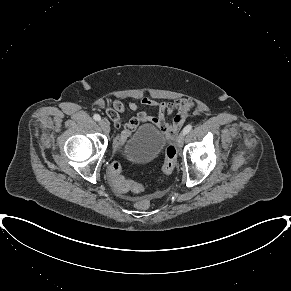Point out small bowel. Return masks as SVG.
<instances>
[{
  "label": "small bowel",
  "instance_id": "obj_1",
  "mask_svg": "<svg viewBox=\"0 0 291 291\" xmlns=\"http://www.w3.org/2000/svg\"><path fill=\"white\" fill-rule=\"evenodd\" d=\"M139 102L143 106L155 108L157 113L151 114L139 110V105L136 102H130L128 107L135 114L128 121L123 122L122 114L125 112L123 102L114 100L107 106L106 113L118 130L112 144L114 149L120 148L139 125L147 122L157 127L165 137L174 138L194 106L193 102L186 98H180L174 102H165L157 101L148 96H141ZM170 116H173L171 122L168 121Z\"/></svg>",
  "mask_w": 291,
  "mask_h": 291
}]
</instances>
